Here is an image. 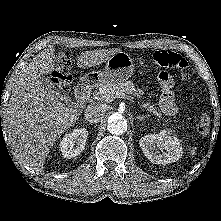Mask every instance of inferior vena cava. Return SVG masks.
<instances>
[{
  "label": "inferior vena cava",
  "mask_w": 221,
  "mask_h": 221,
  "mask_svg": "<svg viewBox=\"0 0 221 221\" xmlns=\"http://www.w3.org/2000/svg\"><path fill=\"white\" fill-rule=\"evenodd\" d=\"M106 105L104 104H94L90 105L85 110V119L90 123H97L99 122L106 111Z\"/></svg>",
  "instance_id": "1"
}]
</instances>
